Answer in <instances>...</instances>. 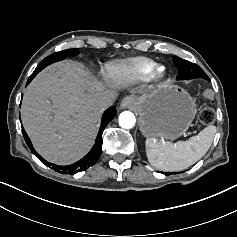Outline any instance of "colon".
<instances>
[{
	"mask_svg": "<svg viewBox=\"0 0 237 237\" xmlns=\"http://www.w3.org/2000/svg\"><path fill=\"white\" fill-rule=\"evenodd\" d=\"M204 96L207 100L213 102L215 94L212 90H206ZM199 120L204 125H210L215 120V112L211 107H204L199 113Z\"/></svg>",
	"mask_w": 237,
	"mask_h": 237,
	"instance_id": "5ec220e1",
	"label": "colon"
}]
</instances>
